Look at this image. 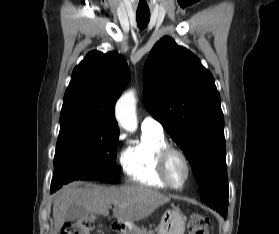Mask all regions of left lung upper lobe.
I'll use <instances>...</instances> for the list:
<instances>
[{
    "mask_svg": "<svg viewBox=\"0 0 279 234\" xmlns=\"http://www.w3.org/2000/svg\"><path fill=\"white\" fill-rule=\"evenodd\" d=\"M143 73L146 109L185 153L201 200L226 218L224 116L212 74L169 37L155 44Z\"/></svg>",
    "mask_w": 279,
    "mask_h": 234,
    "instance_id": "1",
    "label": "left lung upper lobe"
}]
</instances>
